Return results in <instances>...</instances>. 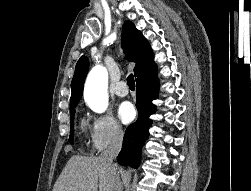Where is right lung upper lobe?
I'll use <instances>...</instances> for the list:
<instances>
[{
    "instance_id": "1",
    "label": "right lung upper lobe",
    "mask_w": 251,
    "mask_h": 191,
    "mask_svg": "<svg viewBox=\"0 0 251 191\" xmlns=\"http://www.w3.org/2000/svg\"><path fill=\"white\" fill-rule=\"evenodd\" d=\"M122 47L128 61L136 63L134 68L136 83L156 76L157 65L154 63L151 47L142 33L130 21H126L122 27ZM88 68L87 58L82 56L76 64L74 77L71 82L70 106L77 105L82 97Z\"/></svg>"
}]
</instances>
